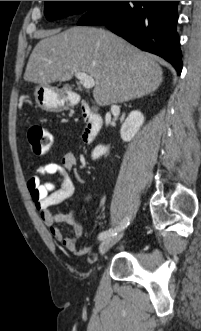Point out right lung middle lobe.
Instances as JSON below:
<instances>
[{
	"label": "right lung middle lobe",
	"instance_id": "dd1d6c3e",
	"mask_svg": "<svg viewBox=\"0 0 201 331\" xmlns=\"http://www.w3.org/2000/svg\"><path fill=\"white\" fill-rule=\"evenodd\" d=\"M100 1H45L44 13L48 20L73 14L84 15Z\"/></svg>",
	"mask_w": 201,
	"mask_h": 331
}]
</instances>
